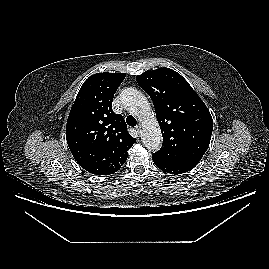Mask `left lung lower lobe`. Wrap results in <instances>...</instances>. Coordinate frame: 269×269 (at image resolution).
<instances>
[{
    "label": "left lung lower lobe",
    "mask_w": 269,
    "mask_h": 269,
    "mask_svg": "<svg viewBox=\"0 0 269 269\" xmlns=\"http://www.w3.org/2000/svg\"><path fill=\"white\" fill-rule=\"evenodd\" d=\"M152 159H153L155 165L159 169H161L162 171H164L166 173H170V174H175V175L182 174V173L188 172V171L193 169V168L188 167V166H177V165L166 163L153 155H152Z\"/></svg>",
    "instance_id": "left-lung-lower-lobe-1"
}]
</instances>
